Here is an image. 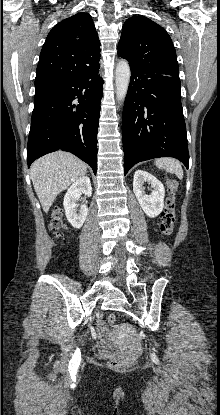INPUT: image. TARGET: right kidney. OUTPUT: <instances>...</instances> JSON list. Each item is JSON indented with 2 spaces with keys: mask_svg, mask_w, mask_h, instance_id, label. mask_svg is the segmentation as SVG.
<instances>
[{
  "mask_svg": "<svg viewBox=\"0 0 220 415\" xmlns=\"http://www.w3.org/2000/svg\"><path fill=\"white\" fill-rule=\"evenodd\" d=\"M85 194L90 197L92 195V187L89 177L83 176L76 180L67 190V193L64 197L63 206L65 209V215L70 224L76 228L80 229L87 217L88 207L86 204L81 206V210L77 213V204L76 201L80 196Z\"/></svg>",
  "mask_w": 220,
  "mask_h": 415,
  "instance_id": "ca27d5eb",
  "label": "right kidney"
}]
</instances>
